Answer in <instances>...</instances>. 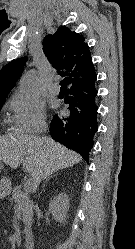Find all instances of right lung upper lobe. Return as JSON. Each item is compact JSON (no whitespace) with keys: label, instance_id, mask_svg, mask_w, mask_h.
<instances>
[{"label":"right lung upper lobe","instance_id":"obj_1","mask_svg":"<svg viewBox=\"0 0 135 249\" xmlns=\"http://www.w3.org/2000/svg\"><path fill=\"white\" fill-rule=\"evenodd\" d=\"M43 51L59 73L68 76L69 85L80 82L95 74L88 44L82 35L61 26L43 40ZM27 57L16 59L0 70V101H3L20 77Z\"/></svg>","mask_w":135,"mask_h":249}]
</instances>
